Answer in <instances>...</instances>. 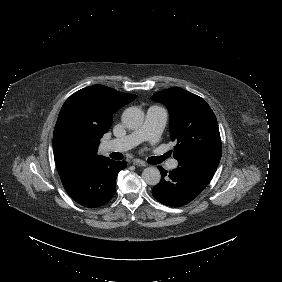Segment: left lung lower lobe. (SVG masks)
<instances>
[{
    "label": "left lung lower lobe",
    "instance_id": "0a47b994",
    "mask_svg": "<svg viewBox=\"0 0 282 282\" xmlns=\"http://www.w3.org/2000/svg\"><path fill=\"white\" fill-rule=\"evenodd\" d=\"M220 160L209 157H193L179 162L176 169L167 173L162 167L161 181L153 190V196L162 204L181 207L195 199L212 179Z\"/></svg>",
    "mask_w": 282,
    "mask_h": 282
}]
</instances>
